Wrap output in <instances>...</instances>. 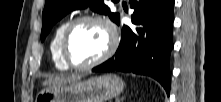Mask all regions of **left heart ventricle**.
<instances>
[{
  "mask_svg": "<svg viewBox=\"0 0 221 102\" xmlns=\"http://www.w3.org/2000/svg\"><path fill=\"white\" fill-rule=\"evenodd\" d=\"M107 45L108 34L102 25L82 22L70 34L67 53L73 63L83 65L97 59Z\"/></svg>",
  "mask_w": 221,
  "mask_h": 102,
  "instance_id": "1",
  "label": "left heart ventricle"
}]
</instances>
